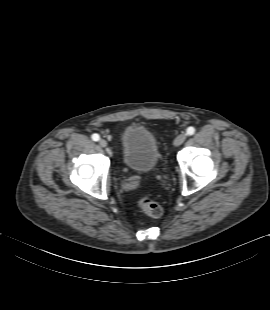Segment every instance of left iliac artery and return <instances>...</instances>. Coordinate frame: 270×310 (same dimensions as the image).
<instances>
[{
    "instance_id": "44dca946",
    "label": "left iliac artery",
    "mask_w": 270,
    "mask_h": 310,
    "mask_svg": "<svg viewBox=\"0 0 270 310\" xmlns=\"http://www.w3.org/2000/svg\"><path fill=\"white\" fill-rule=\"evenodd\" d=\"M187 135H193L195 133L194 127H188L186 131Z\"/></svg>"
}]
</instances>
